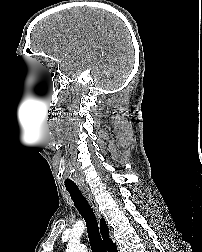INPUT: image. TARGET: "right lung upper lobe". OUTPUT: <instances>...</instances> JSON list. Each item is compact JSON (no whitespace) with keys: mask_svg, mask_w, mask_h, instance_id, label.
Returning <instances> with one entry per match:
<instances>
[{"mask_svg":"<svg viewBox=\"0 0 202 252\" xmlns=\"http://www.w3.org/2000/svg\"><path fill=\"white\" fill-rule=\"evenodd\" d=\"M100 231L104 240L105 247L110 252H117L116 244L109 238V229L106 225V221L102 218L100 221Z\"/></svg>","mask_w":202,"mask_h":252,"instance_id":"1","label":"right lung upper lobe"}]
</instances>
